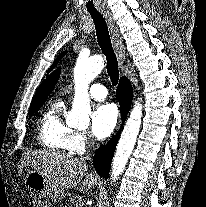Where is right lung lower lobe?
<instances>
[{
  "label": "right lung lower lobe",
  "mask_w": 206,
  "mask_h": 207,
  "mask_svg": "<svg viewBox=\"0 0 206 207\" xmlns=\"http://www.w3.org/2000/svg\"><path fill=\"white\" fill-rule=\"evenodd\" d=\"M117 98L121 108L122 122L125 121L130 110L133 89L131 83L126 77L120 79L117 87ZM119 138V133L112 138L106 146H101L94 155V167L97 173L104 178H108L111 161L114 155L115 147Z\"/></svg>",
  "instance_id": "obj_1"
}]
</instances>
